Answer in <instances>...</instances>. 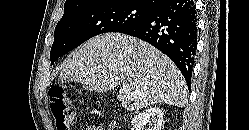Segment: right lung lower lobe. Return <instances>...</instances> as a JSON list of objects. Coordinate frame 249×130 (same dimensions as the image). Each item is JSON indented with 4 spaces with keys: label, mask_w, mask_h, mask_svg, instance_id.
<instances>
[{
    "label": "right lung lower lobe",
    "mask_w": 249,
    "mask_h": 130,
    "mask_svg": "<svg viewBox=\"0 0 249 130\" xmlns=\"http://www.w3.org/2000/svg\"><path fill=\"white\" fill-rule=\"evenodd\" d=\"M120 33L142 39L166 54L190 87L197 45V18L192 0H165L146 19Z\"/></svg>",
    "instance_id": "right-lung-lower-lobe-1"
}]
</instances>
